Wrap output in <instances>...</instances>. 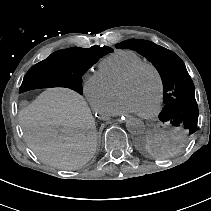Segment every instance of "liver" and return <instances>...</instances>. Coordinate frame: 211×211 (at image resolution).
Wrapping results in <instances>:
<instances>
[{
  "label": "liver",
  "instance_id": "liver-1",
  "mask_svg": "<svg viewBox=\"0 0 211 211\" xmlns=\"http://www.w3.org/2000/svg\"><path fill=\"white\" fill-rule=\"evenodd\" d=\"M18 118L28 147L44 162L76 169L93 156L97 141L95 120L77 92L47 89L21 109Z\"/></svg>",
  "mask_w": 211,
  "mask_h": 211
}]
</instances>
